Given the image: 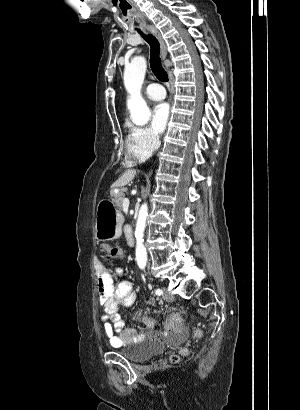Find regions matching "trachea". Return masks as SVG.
I'll list each match as a JSON object with an SVG mask.
<instances>
[{
	"instance_id": "3493384b",
	"label": "trachea",
	"mask_w": 300,
	"mask_h": 410,
	"mask_svg": "<svg viewBox=\"0 0 300 410\" xmlns=\"http://www.w3.org/2000/svg\"><path fill=\"white\" fill-rule=\"evenodd\" d=\"M138 33L150 46V67L156 78L162 82H168V74L162 67L160 58V44L152 34H144L141 30Z\"/></svg>"
}]
</instances>
